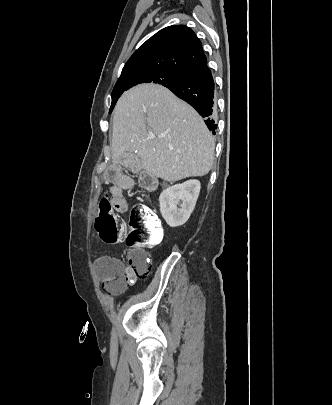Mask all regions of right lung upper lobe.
I'll return each mask as SVG.
<instances>
[{
	"label": "right lung upper lobe",
	"instance_id": "right-lung-upper-lobe-1",
	"mask_svg": "<svg viewBox=\"0 0 332 405\" xmlns=\"http://www.w3.org/2000/svg\"><path fill=\"white\" fill-rule=\"evenodd\" d=\"M207 67L202 43L184 25L166 27L148 39L129 58L122 73L155 70L186 77Z\"/></svg>",
	"mask_w": 332,
	"mask_h": 405
}]
</instances>
